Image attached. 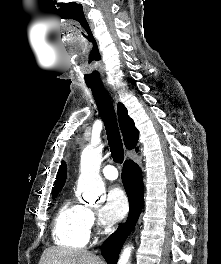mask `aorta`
<instances>
[{"label":"aorta","instance_id":"1","mask_svg":"<svg viewBox=\"0 0 221 264\" xmlns=\"http://www.w3.org/2000/svg\"><path fill=\"white\" fill-rule=\"evenodd\" d=\"M102 160V146L90 145L81 155L80 176L78 189L82 192L85 201L93 204L105 192L104 183L99 175ZM131 247H126L122 252L118 264H130Z\"/></svg>","mask_w":221,"mask_h":264}]
</instances>
